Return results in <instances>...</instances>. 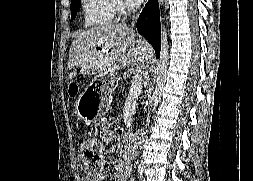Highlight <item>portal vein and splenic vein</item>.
I'll list each match as a JSON object with an SVG mask.
<instances>
[{
  "instance_id": "portal-vein-and-splenic-vein-1",
  "label": "portal vein and splenic vein",
  "mask_w": 253,
  "mask_h": 181,
  "mask_svg": "<svg viewBox=\"0 0 253 181\" xmlns=\"http://www.w3.org/2000/svg\"><path fill=\"white\" fill-rule=\"evenodd\" d=\"M142 89V83L140 80L138 79H134L132 81L131 87H130V91L131 92H139Z\"/></svg>"
}]
</instances>
